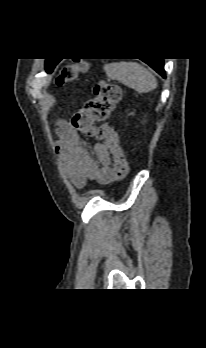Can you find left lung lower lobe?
Returning a JSON list of instances; mask_svg holds the SVG:
<instances>
[{
    "mask_svg": "<svg viewBox=\"0 0 206 348\" xmlns=\"http://www.w3.org/2000/svg\"><path fill=\"white\" fill-rule=\"evenodd\" d=\"M143 61L147 63L150 67H152L156 72H158L162 77H165L163 59H147Z\"/></svg>",
    "mask_w": 206,
    "mask_h": 348,
    "instance_id": "obj_1",
    "label": "left lung lower lobe"
}]
</instances>
